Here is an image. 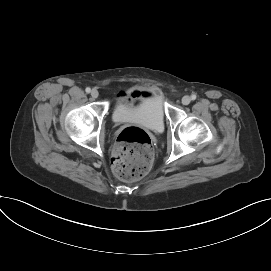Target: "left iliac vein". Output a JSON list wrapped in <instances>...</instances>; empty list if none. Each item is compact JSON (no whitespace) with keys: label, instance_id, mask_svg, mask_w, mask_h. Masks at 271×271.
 <instances>
[{"label":"left iliac vein","instance_id":"obj_1","mask_svg":"<svg viewBox=\"0 0 271 271\" xmlns=\"http://www.w3.org/2000/svg\"><path fill=\"white\" fill-rule=\"evenodd\" d=\"M191 102V98L189 96H184L182 98V104L183 105H188Z\"/></svg>","mask_w":271,"mask_h":271}]
</instances>
